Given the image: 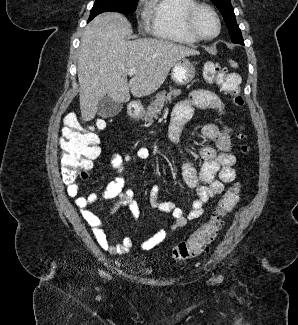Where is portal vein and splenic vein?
<instances>
[{
    "instance_id": "portal-vein-and-splenic-vein-1",
    "label": "portal vein and splenic vein",
    "mask_w": 298,
    "mask_h": 325,
    "mask_svg": "<svg viewBox=\"0 0 298 325\" xmlns=\"http://www.w3.org/2000/svg\"><path fill=\"white\" fill-rule=\"evenodd\" d=\"M136 72V68H129V70H127V74H130V76H132V74H135Z\"/></svg>"
}]
</instances>
